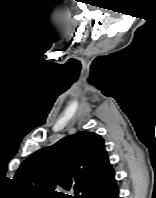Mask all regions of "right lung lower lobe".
Here are the masks:
<instances>
[{
	"mask_svg": "<svg viewBox=\"0 0 156 198\" xmlns=\"http://www.w3.org/2000/svg\"><path fill=\"white\" fill-rule=\"evenodd\" d=\"M102 198H119V191L117 186L114 187L111 191H109L105 196Z\"/></svg>",
	"mask_w": 156,
	"mask_h": 198,
	"instance_id": "right-lung-lower-lobe-1",
	"label": "right lung lower lobe"
}]
</instances>
